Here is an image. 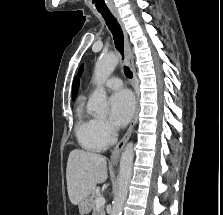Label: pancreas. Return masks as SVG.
I'll return each mask as SVG.
<instances>
[{"mask_svg": "<svg viewBox=\"0 0 223 215\" xmlns=\"http://www.w3.org/2000/svg\"><path fill=\"white\" fill-rule=\"evenodd\" d=\"M99 193L97 191H93L92 195H89V199H92V202H94V208L92 215H96V213H99V215H105L104 207H96V199L98 197Z\"/></svg>", "mask_w": 223, "mask_h": 215, "instance_id": "cf45deb5", "label": "pancreas"}]
</instances>
